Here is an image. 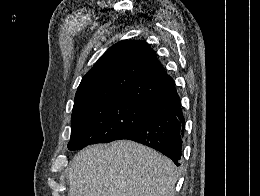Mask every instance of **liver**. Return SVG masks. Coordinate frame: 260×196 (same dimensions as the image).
<instances>
[{"label":"liver","mask_w":260,"mask_h":196,"mask_svg":"<svg viewBox=\"0 0 260 196\" xmlns=\"http://www.w3.org/2000/svg\"><path fill=\"white\" fill-rule=\"evenodd\" d=\"M68 196H174L172 160L131 140L87 146L69 168Z\"/></svg>","instance_id":"liver-1"}]
</instances>
